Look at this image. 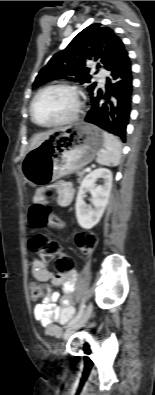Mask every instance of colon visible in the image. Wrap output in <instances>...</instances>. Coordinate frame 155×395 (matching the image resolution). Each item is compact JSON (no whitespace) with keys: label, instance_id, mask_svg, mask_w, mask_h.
<instances>
[{"label":"colon","instance_id":"obj_1","mask_svg":"<svg viewBox=\"0 0 155 395\" xmlns=\"http://www.w3.org/2000/svg\"><path fill=\"white\" fill-rule=\"evenodd\" d=\"M51 192L47 191L46 195L50 196ZM29 223L34 229L45 227L49 220V210L42 204H35L29 211ZM96 242L92 233H79L75 237L76 245L83 251L88 252ZM28 248L32 252L42 253L46 256H57L60 266V275H67L68 272H75L76 267L68 250H60L59 244L48 238L42 233L35 232L28 240ZM30 294L32 299L36 300L43 296L44 286L36 281L30 283Z\"/></svg>","mask_w":155,"mask_h":395}]
</instances>
